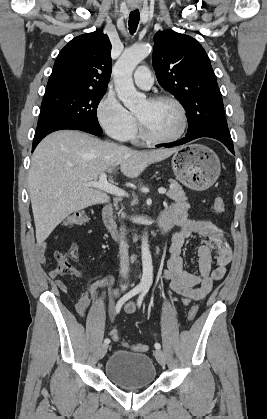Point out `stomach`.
<instances>
[{"mask_svg":"<svg viewBox=\"0 0 267 419\" xmlns=\"http://www.w3.org/2000/svg\"><path fill=\"white\" fill-rule=\"evenodd\" d=\"M171 164L177 180L195 191L211 187L218 179L221 169L216 153L202 144L179 147Z\"/></svg>","mask_w":267,"mask_h":419,"instance_id":"stomach-1","label":"stomach"}]
</instances>
